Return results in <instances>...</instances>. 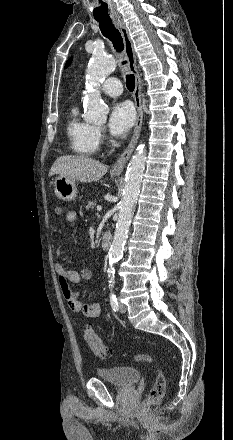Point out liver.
Instances as JSON below:
<instances>
[{"mask_svg": "<svg viewBox=\"0 0 233 440\" xmlns=\"http://www.w3.org/2000/svg\"><path fill=\"white\" fill-rule=\"evenodd\" d=\"M108 171V166L84 155L61 156L52 165L49 176L60 174L83 183L101 179Z\"/></svg>", "mask_w": 233, "mask_h": 440, "instance_id": "6515ba94", "label": "liver"}]
</instances>
